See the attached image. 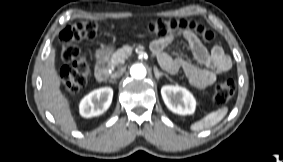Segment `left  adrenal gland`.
Here are the masks:
<instances>
[{
    "instance_id": "1",
    "label": "left adrenal gland",
    "mask_w": 283,
    "mask_h": 162,
    "mask_svg": "<svg viewBox=\"0 0 283 162\" xmlns=\"http://www.w3.org/2000/svg\"><path fill=\"white\" fill-rule=\"evenodd\" d=\"M154 74H155V77H156L157 80H159L160 77L163 76V75L168 77L167 74L160 72L157 67H154Z\"/></svg>"
}]
</instances>
